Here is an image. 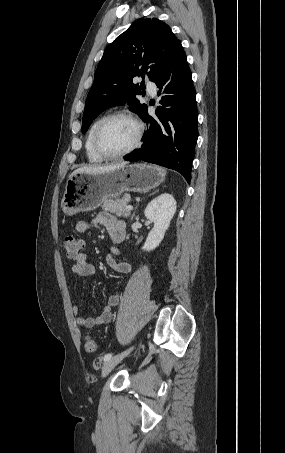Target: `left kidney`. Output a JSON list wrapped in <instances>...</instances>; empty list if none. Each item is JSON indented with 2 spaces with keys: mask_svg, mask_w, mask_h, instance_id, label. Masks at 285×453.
Masks as SVG:
<instances>
[{
  "mask_svg": "<svg viewBox=\"0 0 285 453\" xmlns=\"http://www.w3.org/2000/svg\"><path fill=\"white\" fill-rule=\"evenodd\" d=\"M176 212V201L171 194L164 193L154 198L145 209V217L154 222L142 249L154 250L164 238L170 222Z\"/></svg>",
  "mask_w": 285,
  "mask_h": 453,
  "instance_id": "obj_1",
  "label": "left kidney"
}]
</instances>
